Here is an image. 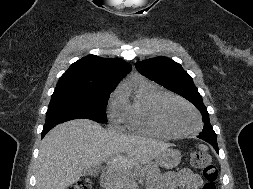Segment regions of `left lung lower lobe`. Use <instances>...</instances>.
<instances>
[{"label": "left lung lower lobe", "mask_w": 253, "mask_h": 189, "mask_svg": "<svg viewBox=\"0 0 253 189\" xmlns=\"http://www.w3.org/2000/svg\"><path fill=\"white\" fill-rule=\"evenodd\" d=\"M198 137L209 142L214 147L215 151L217 153H219L216 136L205 135V134L200 133V135Z\"/></svg>", "instance_id": "1"}]
</instances>
